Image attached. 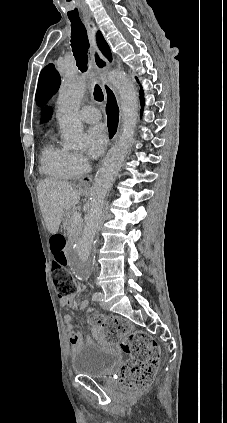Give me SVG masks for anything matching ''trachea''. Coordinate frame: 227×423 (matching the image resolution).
<instances>
[{"label": "trachea", "instance_id": "3493384b", "mask_svg": "<svg viewBox=\"0 0 227 423\" xmlns=\"http://www.w3.org/2000/svg\"><path fill=\"white\" fill-rule=\"evenodd\" d=\"M71 22V47L76 60V65L81 72H86L88 67L89 41L86 28L79 18L70 19ZM94 98L97 102L104 100L102 89L95 85Z\"/></svg>", "mask_w": 227, "mask_h": 423}]
</instances>
